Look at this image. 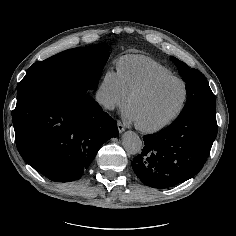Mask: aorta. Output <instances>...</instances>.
Wrapping results in <instances>:
<instances>
[{"label":"aorta","mask_w":236,"mask_h":236,"mask_svg":"<svg viewBox=\"0 0 236 236\" xmlns=\"http://www.w3.org/2000/svg\"><path fill=\"white\" fill-rule=\"evenodd\" d=\"M122 145L125 151L132 155L140 153L142 149V141L133 131H127L123 134Z\"/></svg>","instance_id":"aorta-1"}]
</instances>
